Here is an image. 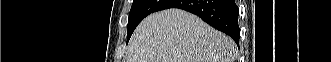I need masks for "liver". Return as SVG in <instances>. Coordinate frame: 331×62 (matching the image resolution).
<instances>
[{
  "label": "liver",
  "instance_id": "6515ba94",
  "mask_svg": "<svg viewBox=\"0 0 331 62\" xmlns=\"http://www.w3.org/2000/svg\"><path fill=\"white\" fill-rule=\"evenodd\" d=\"M236 52L230 37L173 8L151 14L137 26L127 62H234Z\"/></svg>",
  "mask_w": 331,
  "mask_h": 62
}]
</instances>
